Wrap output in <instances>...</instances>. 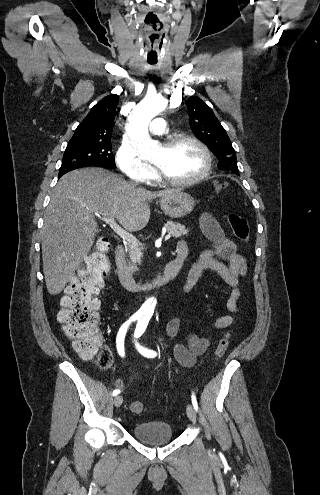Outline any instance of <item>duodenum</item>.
<instances>
[{
	"label": "duodenum",
	"instance_id": "1",
	"mask_svg": "<svg viewBox=\"0 0 320 495\" xmlns=\"http://www.w3.org/2000/svg\"><path fill=\"white\" fill-rule=\"evenodd\" d=\"M186 257L187 249L177 248L175 258L166 264L163 273L159 277L152 281L140 283L133 278L129 271L123 246L118 245L115 251L116 267L121 284L130 290L139 291L151 290L168 284L177 276Z\"/></svg>",
	"mask_w": 320,
	"mask_h": 495
}]
</instances>
